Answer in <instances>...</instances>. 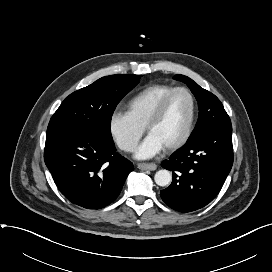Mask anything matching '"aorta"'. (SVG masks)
Wrapping results in <instances>:
<instances>
[{"instance_id": "762f6f07", "label": "aorta", "mask_w": 272, "mask_h": 272, "mask_svg": "<svg viewBox=\"0 0 272 272\" xmlns=\"http://www.w3.org/2000/svg\"><path fill=\"white\" fill-rule=\"evenodd\" d=\"M155 183L159 186H167L172 181V175L168 170H159L154 176Z\"/></svg>"}]
</instances>
